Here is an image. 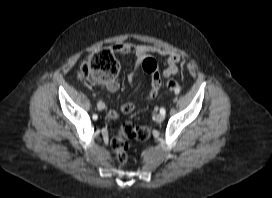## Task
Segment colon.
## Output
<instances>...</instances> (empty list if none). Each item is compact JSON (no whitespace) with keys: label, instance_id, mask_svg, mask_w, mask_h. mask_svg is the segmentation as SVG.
Here are the masks:
<instances>
[{"label":"colon","instance_id":"5ec220e1","mask_svg":"<svg viewBox=\"0 0 272 198\" xmlns=\"http://www.w3.org/2000/svg\"><path fill=\"white\" fill-rule=\"evenodd\" d=\"M142 67L147 74L158 70L153 59H145ZM119 68V62L113 50L105 48L92 54L82 63L78 71V78L92 84H107L114 80ZM166 86L171 93L177 94L181 91L180 85L174 80L168 81ZM149 136L150 129L147 126H136L130 121L124 122L110 143L116 162L123 165L128 160L127 139L145 141Z\"/></svg>","mask_w":272,"mask_h":198}]
</instances>
